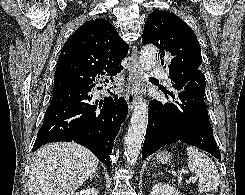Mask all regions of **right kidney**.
I'll return each mask as SVG.
<instances>
[{
	"label": "right kidney",
	"instance_id": "right-kidney-1",
	"mask_svg": "<svg viewBox=\"0 0 245 195\" xmlns=\"http://www.w3.org/2000/svg\"><path fill=\"white\" fill-rule=\"evenodd\" d=\"M74 195H98V191L95 188H88L86 190H81Z\"/></svg>",
	"mask_w": 245,
	"mask_h": 195
}]
</instances>
